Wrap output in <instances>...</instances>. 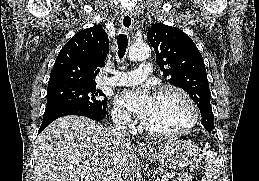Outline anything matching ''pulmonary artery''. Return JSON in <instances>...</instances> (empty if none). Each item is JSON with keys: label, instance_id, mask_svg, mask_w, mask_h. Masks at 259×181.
<instances>
[{"label": "pulmonary artery", "instance_id": "1", "mask_svg": "<svg viewBox=\"0 0 259 181\" xmlns=\"http://www.w3.org/2000/svg\"><path fill=\"white\" fill-rule=\"evenodd\" d=\"M152 73L151 64L143 61L137 71H116L113 76L104 79V83L112 86L135 85L142 82Z\"/></svg>", "mask_w": 259, "mask_h": 181}]
</instances>
